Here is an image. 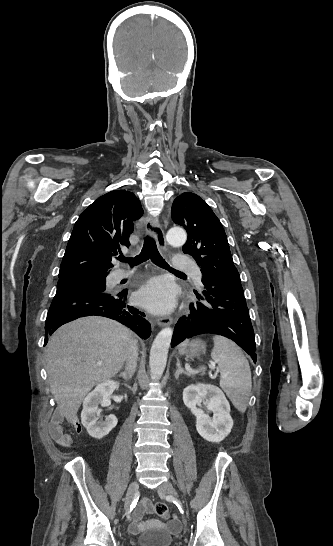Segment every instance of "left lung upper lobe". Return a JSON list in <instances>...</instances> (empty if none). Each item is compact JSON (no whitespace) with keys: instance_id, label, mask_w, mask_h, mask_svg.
I'll return each instance as SVG.
<instances>
[{"instance_id":"1","label":"left lung upper lobe","mask_w":333,"mask_h":546,"mask_svg":"<svg viewBox=\"0 0 333 546\" xmlns=\"http://www.w3.org/2000/svg\"><path fill=\"white\" fill-rule=\"evenodd\" d=\"M171 211L174 223L188 231L183 253L196 260L202 279L214 286L241 285L223 226L206 202L185 192L174 200Z\"/></svg>"}]
</instances>
